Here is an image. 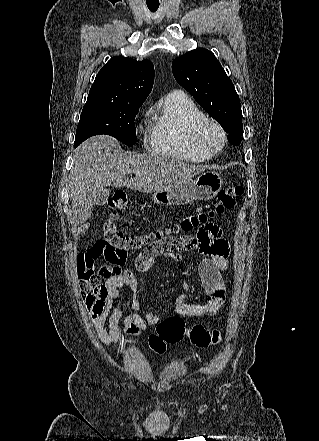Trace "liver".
I'll return each mask as SVG.
<instances>
[{
	"mask_svg": "<svg viewBox=\"0 0 319 441\" xmlns=\"http://www.w3.org/2000/svg\"><path fill=\"white\" fill-rule=\"evenodd\" d=\"M206 168L162 155L124 152L120 143L107 135L89 138L76 149L70 175L77 235L88 230L90 224L86 221L92 214L96 194L103 187H129L152 193L169 189ZM130 173H135L131 180L127 177Z\"/></svg>",
	"mask_w": 319,
	"mask_h": 441,
	"instance_id": "6515ba94",
	"label": "liver"
}]
</instances>
